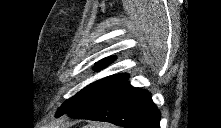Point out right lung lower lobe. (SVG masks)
I'll return each mask as SVG.
<instances>
[{"instance_id":"right-lung-lower-lobe-1","label":"right lung lower lobe","mask_w":221,"mask_h":128,"mask_svg":"<svg viewBox=\"0 0 221 128\" xmlns=\"http://www.w3.org/2000/svg\"><path fill=\"white\" fill-rule=\"evenodd\" d=\"M67 114L72 118L110 122L125 128H160V111L151 94L124 81L102 98Z\"/></svg>"}]
</instances>
